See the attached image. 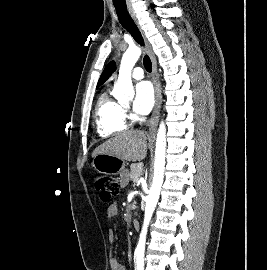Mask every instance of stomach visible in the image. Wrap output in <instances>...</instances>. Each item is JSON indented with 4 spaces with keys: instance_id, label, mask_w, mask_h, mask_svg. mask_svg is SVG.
<instances>
[{
    "instance_id": "stomach-1",
    "label": "stomach",
    "mask_w": 267,
    "mask_h": 270,
    "mask_svg": "<svg viewBox=\"0 0 267 270\" xmlns=\"http://www.w3.org/2000/svg\"><path fill=\"white\" fill-rule=\"evenodd\" d=\"M92 166L103 174H121L125 169V161L110 154H98L93 158Z\"/></svg>"
}]
</instances>
